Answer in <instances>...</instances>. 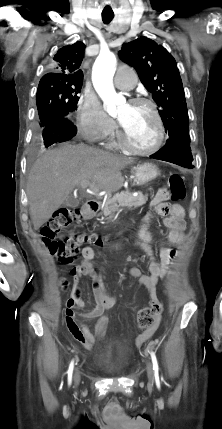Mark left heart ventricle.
<instances>
[{"label":"left heart ventricle","instance_id":"left-heart-ventricle-1","mask_svg":"<svg viewBox=\"0 0 222 429\" xmlns=\"http://www.w3.org/2000/svg\"><path fill=\"white\" fill-rule=\"evenodd\" d=\"M117 119L126 132L129 141L137 148L152 147L157 139V126L150 109L141 104L124 103Z\"/></svg>","mask_w":222,"mask_h":429}]
</instances>
